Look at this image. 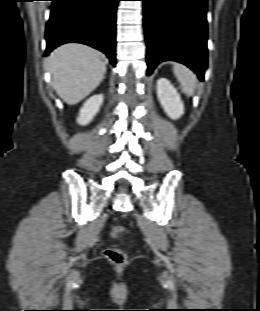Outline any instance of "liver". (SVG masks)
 Returning <instances> with one entry per match:
<instances>
[{
    "label": "liver",
    "instance_id": "6515ba94",
    "mask_svg": "<svg viewBox=\"0 0 260 311\" xmlns=\"http://www.w3.org/2000/svg\"><path fill=\"white\" fill-rule=\"evenodd\" d=\"M46 63L54 90L69 105L77 104L96 89L106 72L101 53L78 43L60 46Z\"/></svg>",
    "mask_w": 260,
    "mask_h": 311
}]
</instances>
